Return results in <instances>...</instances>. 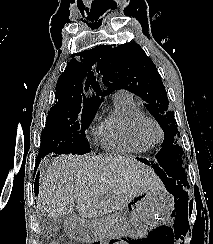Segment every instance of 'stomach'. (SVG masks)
Segmentation results:
<instances>
[{"label":"stomach","instance_id":"1","mask_svg":"<svg viewBox=\"0 0 213 244\" xmlns=\"http://www.w3.org/2000/svg\"><path fill=\"white\" fill-rule=\"evenodd\" d=\"M169 199L163 187L150 188L136 196L131 202L129 218L121 230L139 233L152 230L170 216ZM102 221H67V231L73 238L96 244V239H104V234H112V229H99Z\"/></svg>","mask_w":213,"mask_h":244}]
</instances>
